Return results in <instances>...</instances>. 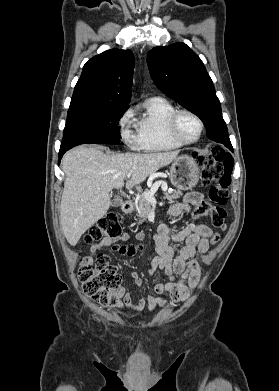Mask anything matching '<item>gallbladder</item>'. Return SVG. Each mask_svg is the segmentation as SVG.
Returning a JSON list of instances; mask_svg holds the SVG:
<instances>
[{
  "mask_svg": "<svg viewBox=\"0 0 279 391\" xmlns=\"http://www.w3.org/2000/svg\"><path fill=\"white\" fill-rule=\"evenodd\" d=\"M122 204V200L119 199V198H114L112 201H111V205L113 207H118Z\"/></svg>",
  "mask_w": 279,
  "mask_h": 391,
  "instance_id": "obj_1",
  "label": "gallbladder"
}]
</instances>
